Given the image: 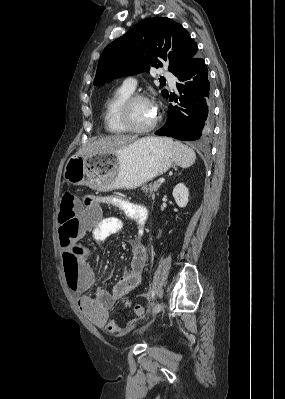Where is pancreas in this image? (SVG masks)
<instances>
[{
	"label": "pancreas",
	"instance_id": "cf45deb5",
	"mask_svg": "<svg viewBox=\"0 0 285 399\" xmlns=\"http://www.w3.org/2000/svg\"><path fill=\"white\" fill-rule=\"evenodd\" d=\"M159 187H160V184L154 182V183H150L149 185H144L142 187V190L144 193L149 194V196L152 197V199H154L155 193L157 192Z\"/></svg>",
	"mask_w": 285,
	"mask_h": 399
}]
</instances>
